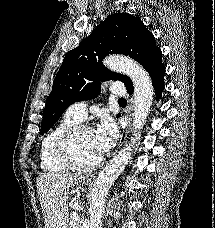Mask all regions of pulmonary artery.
I'll list each match as a JSON object with an SVG mask.
<instances>
[{"mask_svg":"<svg viewBox=\"0 0 215 228\" xmlns=\"http://www.w3.org/2000/svg\"><path fill=\"white\" fill-rule=\"evenodd\" d=\"M109 87L112 89L114 96H128L129 88H125V84H118V82H109ZM87 106L88 102H75L68 107L67 112L73 118L82 121L86 116Z\"/></svg>","mask_w":215,"mask_h":228,"instance_id":"1","label":"pulmonary artery"}]
</instances>
